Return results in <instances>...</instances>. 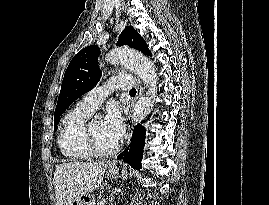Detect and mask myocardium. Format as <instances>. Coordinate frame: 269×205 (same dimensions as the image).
I'll use <instances>...</instances> for the list:
<instances>
[{
	"label": "myocardium",
	"mask_w": 269,
	"mask_h": 205,
	"mask_svg": "<svg viewBox=\"0 0 269 205\" xmlns=\"http://www.w3.org/2000/svg\"><path fill=\"white\" fill-rule=\"evenodd\" d=\"M91 123H86L83 130V143L89 154L94 157H108L115 154L119 149L118 144H115L114 147L107 150L101 149L97 146L91 132Z\"/></svg>",
	"instance_id": "1"
}]
</instances>
